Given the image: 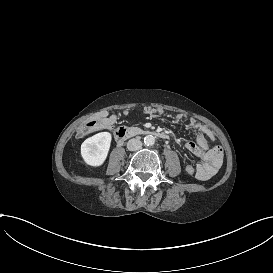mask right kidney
Masks as SVG:
<instances>
[{
	"label": "right kidney",
	"instance_id": "1",
	"mask_svg": "<svg viewBox=\"0 0 273 273\" xmlns=\"http://www.w3.org/2000/svg\"><path fill=\"white\" fill-rule=\"evenodd\" d=\"M111 143L109 132H100L87 138L81 145V155L84 161L91 166H100L104 163Z\"/></svg>",
	"mask_w": 273,
	"mask_h": 273
}]
</instances>
